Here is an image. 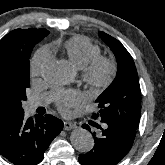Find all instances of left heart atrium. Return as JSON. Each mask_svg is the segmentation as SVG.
<instances>
[{"instance_id": "obj_1", "label": "left heart atrium", "mask_w": 165, "mask_h": 165, "mask_svg": "<svg viewBox=\"0 0 165 165\" xmlns=\"http://www.w3.org/2000/svg\"><path fill=\"white\" fill-rule=\"evenodd\" d=\"M81 100V94L76 92H69L61 95L57 99V106L62 112L67 113L70 110V108L79 104Z\"/></svg>"}]
</instances>
